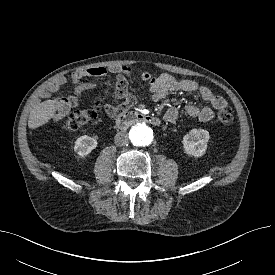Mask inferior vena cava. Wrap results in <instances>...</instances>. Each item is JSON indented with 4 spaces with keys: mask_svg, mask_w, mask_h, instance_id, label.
<instances>
[{
    "mask_svg": "<svg viewBox=\"0 0 275 275\" xmlns=\"http://www.w3.org/2000/svg\"><path fill=\"white\" fill-rule=\"evenodd\" d=\"M114 142L117 146H124L128 144L129 138L126 132H119L114 137Z\"/></svg>",
    "mask_w": 275,
    "mask_h": 275,
    "instance_id": "602c4592",
    "label": "inferior vena cava"
}]
</instances>
